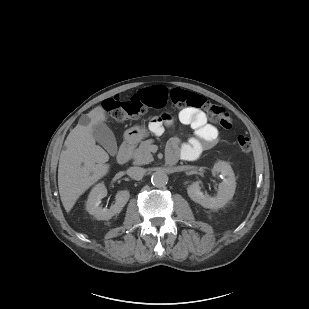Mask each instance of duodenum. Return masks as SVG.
<instances>
[{"label": "duodenum", "instance_id": "410a0bca", "mask_svg": "<svg viewBox=\"0 0 309 309\" xmlns=\"http://www.w3.org/2000/svg\"><path fill=\"white\" fill-rule=\"evenodd\" d=\"M134 145L135 141L133 139H129L121 145L117 154L118 163L125 164L129 160Z\"/></svg>", "mask_w": 309, "mask_h": 309}]
</instances>
